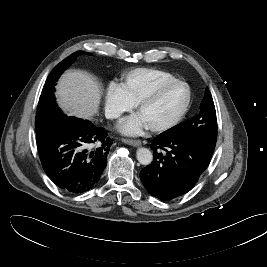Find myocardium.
<instances>
[{"label": "myocardium", "instance_id": "f54148a6", "mask_svg": "<svg viewBox=\"0 0 267 267\" xmlns=\"http://www.w3.org/2000/svg\"><path fill=\"white\" fill-rule=\"evenodd\" d=\"M173 85H183L186 88L187 98H186L185 104L180 110V112L176 116H174L172 119L165 121L163 123H160V124L148 126V128L153 132H163V131L169 130L175 127L176 125H178L185 118V116L187 115L190 109L191 102H192V91H191L189 84L180 79H174V80L164 82L160 84L159 86H157L156 88H154L149 93L145 94L137 102V111L139 112L143 106L154 101L156 98H158L161 95V93L164 90H166L167 88Z\"/></svg>", "mask_w": 267, "mask_h": 267}]
</instances>
